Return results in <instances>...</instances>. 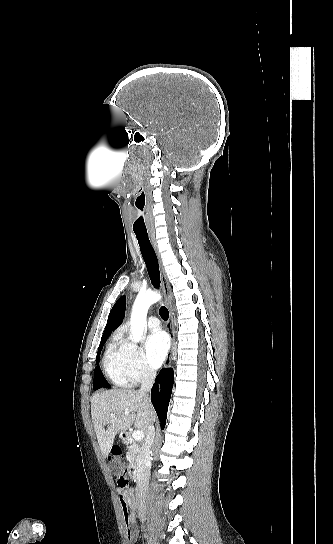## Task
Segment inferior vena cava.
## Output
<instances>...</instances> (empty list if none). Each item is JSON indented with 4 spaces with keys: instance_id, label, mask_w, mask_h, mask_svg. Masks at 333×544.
Here are the masks:
<instances>
[{
    "instance_id": "obj_1",
    "label": "inferior vena cava",
    "mask_w": 333,
    "mask_h": 544,
    "mask_svg": "<svg viewBox=\"0 0 333 544\" xmlns=\"http://www.w3.org/2000/svg\"><path fill=\"white\" fill-rule=\"evenodd\" d=\"M156 373L150 368H144L141 377V387L139 393L141 395H146L150 392ZM155 428L153 423H150L147 428L146 439L142 445L137 467V481H136V503L138 514L140 518H145L146 515V499H147V490L149 485L150 477V452L151 447L154 442Z\"/></svg>"
}]
</instances>
